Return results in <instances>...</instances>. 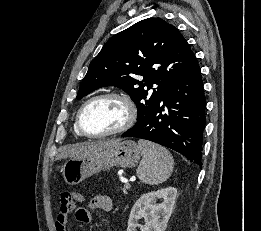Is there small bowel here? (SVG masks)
<instances>
[{
    "instance_id": "obj_1",
    "label": "small bowel",
    "mask_w": 261,
    "mask_h": 231,
    "mask_svg": "<svg viewBox=\"0 0 261 231\" xmlns=\"http://www.w3.org/2000/svg\"><path fill=\"white\" fill-rule=\"evenodd\" d=\"M80 200L83 199L82 195H79ZM112 208L111 199L108 196L96 195L94 196L85 207H80L75 211V217L81 224H89L92 218V212L94 210H100L108 212ZM67 222V216L58 214L55 221L56 231H65V224Z\"/></svg>"
}]
</instances>
